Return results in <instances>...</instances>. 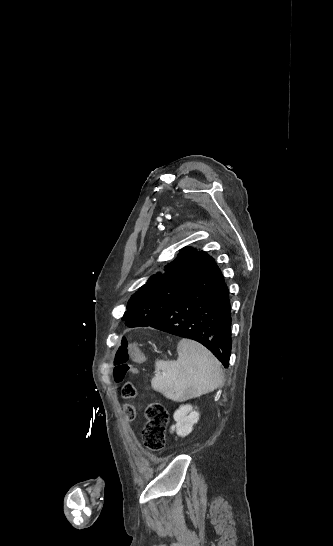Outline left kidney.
I'll list each match as a JSON object with an SVG mask.
<instances>
[{"label": "left kidney", "mask_w": 333, "mask_h": 546, "mask_svg": "<svg viewBox=\"0 0 333 546\" xmlns=\"http://www.w3.org/2000/svg\"><path fill=\"white\" fill-rule=\"evenodd\" d=\"M176 424L171 427V432L176 431L178 436H186L193 430V426L199 420V412L190 404L181 405L173 415Z\"/></svg>", "instance_id": "left-kidney-1"}]
</instances>
